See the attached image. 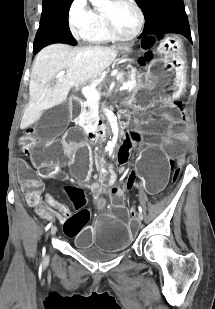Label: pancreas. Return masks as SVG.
Instances as JSON below:
<instances>
[{
  "instance_id": "pancreas-1",
  "label": "pancreas",
  "mask_w": 215,
  "mask_h": 309,
  "mask_svg": "<svg viewBox=\"0 0 215 309\" xmlns=\"http://www.w3.org/2000/svg\"><path fill=\"white\" fill-rule=\"evenodd\" d=\"M130 74H132V76H129L128 80H135V82H138V80H140L139 70H135V68H132V70H130ZM98 84H102V82H98ZM98 108L99 106L97 102H95L93 98H89L87 108H83L82 112V120H84L83 126H87V124L91 126L92 118H94L95 114H97L98 116Z\"/></svg>"
}]
</instances>
